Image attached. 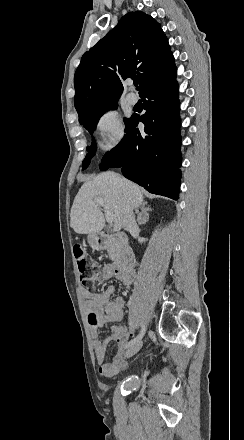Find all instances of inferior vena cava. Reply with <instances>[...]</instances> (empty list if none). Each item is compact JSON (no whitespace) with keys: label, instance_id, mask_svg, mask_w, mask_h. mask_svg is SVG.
<instances>
[{"label":"inferior vena cava","instance_id":"602c4592","mask_svg":"<svg viewBox=\"0 0 244 440\" xmlns=\"http://www.w3.org/2000/svg\"><path fill=\"white\" fill-rule=\"evenodd\" d=\"M122 226H123V228H125V230H129V232H130V230H138L137 224L135 222L133 206H127V208L124 212Z\"/></svg>","mask_w":244,"mask_h":440}]
</instances>
